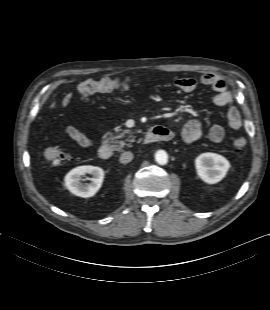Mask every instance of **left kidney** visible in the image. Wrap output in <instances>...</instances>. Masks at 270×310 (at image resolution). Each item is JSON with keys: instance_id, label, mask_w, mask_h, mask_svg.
Segmentation results:
<instances>
[{"instance_id": "obj_1", "label": "left kidney", "mask_w": 270, "mask_h": 310, "mask_svg": "<svg viewBox=\"0 0 270 310\" xmlns=\"http://www.w3.org/2000/svg\"><path fill=\"white\" fill-rule=\"evenodd\" d=\"M195 168L201 180L216 184L226 176L230 163L220 154L207 152L196 157Z\"/></svg>"}]
</instances>
